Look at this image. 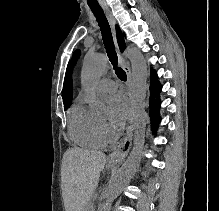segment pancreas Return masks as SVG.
Listing matches in <instances>:
<instances>
[{"label": "pancreas", "instance_id": "obj_1", "mask_svg": "<svg viewBox=\"0 0 219 211\" xmlns=\"http://www.w3.org/2000/svg\"><path fill=\"white\" fill-rule=\"evenodd\" d=\"M87 207L89 209V211H95V207L96 205L98 204V201L97 200H87Z\"/></svg>", "mask_w": 219, "mask_h": 211}]
</instances>
